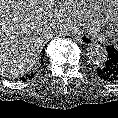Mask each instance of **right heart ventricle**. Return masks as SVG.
I'll return each instance as SVG.
<instances>
[{"mask_svg": "<svg viewBox=\"0 0 118 118\" xmlns=\"http://www.w3.org/2000/svg\"><path fill=\"white\" fill-rule=\"evenodd\" d=\"M118 0H80L79 15L93 22L111 21L113 3Z\"/></svg>", "mask_w": 118, "mask_h": 118, "instance_id": "1", "label": "right heart ventricle"}]
</instances>
